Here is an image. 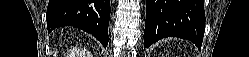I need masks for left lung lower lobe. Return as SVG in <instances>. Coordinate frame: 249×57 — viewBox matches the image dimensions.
Wrapping results in <instances>:
<instances>
[{"instance_id": "obj_1", "label": "left lung lower lobe", "mask_w": 249, "mask_h": 57, "mask_svg": "<svg viewBox=\"0 0 249 57\" xmlns=\"http://www.w3.org/2000/svg\"><path fill=\"white\" fill-rule=\"evenodd\" d=\"M205 31L204 0H147L144 46L166 37L192 41L201 48Z\"/></svg>"}]
</instances>
